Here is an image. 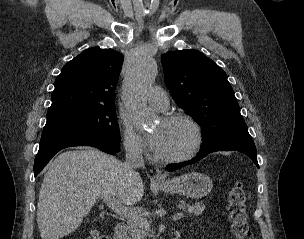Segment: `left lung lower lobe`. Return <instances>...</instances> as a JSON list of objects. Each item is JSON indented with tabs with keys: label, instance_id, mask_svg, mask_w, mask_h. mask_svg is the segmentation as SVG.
<instances>
[{
	"label": "left lung lower lobe",
	"instance_id": "obj_1",
	"mask_svg": "<svg viewBox=\"0 0 304 239\" xmlns=\"http://www.w3.org/2000/svg\"><path fill=\"white\" fill-rule=\"evenodd\" d=\"M223 150H235L244 153L247 155L254 163L255 165L259 168L258 162H257V152H256V147L253 141H243V140H234V141H228L221 143L216 146H211L208 148H202L201 151L198 153V155L187 162L180 163V164H174L170 165L167 167L168 171H174L176 169H179L185 165L192 164L196 161H199L206 155L212 152L216 151H223Z\"/></svg>",
	"mask_w": 304,
	"mask_h": 239
}]
</instances>
